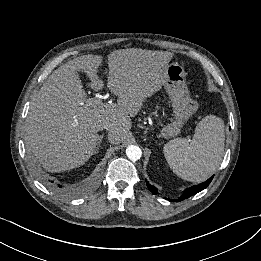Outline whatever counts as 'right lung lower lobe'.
<instances>
[{"label":"right lung lower lobe","instance_id":"98d812e1","mask_svg":"<svg viewBox=\"0 0 261 261\" xmlns=\"http://www.w3.org/2000/svg\"><path fill=\"white\" fill-rule=\"evenodd\" d=\"M52 183V182H51ZM51 183H48L50 186H52V184ZM62 186L61 185H59V188H61Z\"/></svg>","mask_w":261,"mask_h":261}]
</instances>
